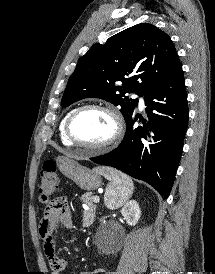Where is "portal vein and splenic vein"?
Returning a JSON list of instances; mask_svg holds the SVG:
<instances>
[{"instance_id": "portal-vein-and-splenic-vein-1", "label": "portal vein and splenic vein", "mask_w": 215, "mask_h": 274, "mask_svg": "<svg viewBox=\"0 0 215 274\" xmlns=\"http://www.w3.org/2000/svg\"><path fill=\"white\" fill-rule=\"evenodd\" d=\"M99 200H100L99 196H94V197H93V201H94L95 203H98Z\"/></svg>"}]
</instances>
